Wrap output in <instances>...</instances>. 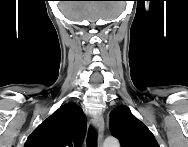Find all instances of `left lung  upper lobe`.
I'll use <instances>...</instances> for the list:
<instances>
[{
    "label": "left lung upper lobe",
    "instance_id": "obj_1",
    "mask_svg": "<svg viewBox=\"0 0 188 147\" xmlns=\"http://www.w3.org/2000/svg\"><path fill=\"white\" fill-rule=\"evenodd\" d=\"M110 131L122 147H159L152 132L125 105L112 110Z\"/></svg>",
    "mask_w": 188,
    "mask_h": 147
}]
</instances>
